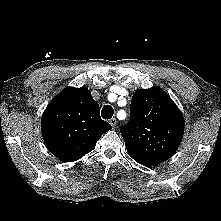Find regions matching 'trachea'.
I'll return each mask as SVG.
<instances>
[{
	"instance_id": "1",
	"label": "trachea",
	"mask_w": 221,
	"mask_h": 221,
	"mask_svg": "<svg viewBox=\"0 0 221 221\" xmlns=\"http://www.w3.org/2000/svg\"><path fill=\"white\" fill-rule=\"evenodd\" d=\"M114 110L110 105H105L101 110V116L103 119H111L113 117Z\"/></svg>"
}]
</instances>
